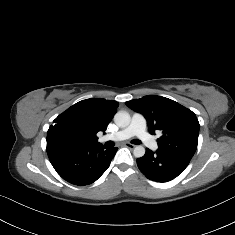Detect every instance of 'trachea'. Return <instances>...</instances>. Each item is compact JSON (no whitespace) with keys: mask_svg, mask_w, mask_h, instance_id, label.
I'll list each match as a JSON object with an SVG mask.
<instances>
[{"mask_svg":"<svg viewBox=\"0 0 235 235\" xmlns=\"http://www.w3.org/2000/svg\"><path fill=\"white\" fill-rule=\"evenodd\" d=\"M131 143H133V144H140L141 141L138 140V139H134V140L131 141ZM106 146H114V142L108 141V142L106 143Z\"/></svg>","mask_w":235,"mask_h":235,"instance_id":"3493384b","label":"trachea"}]
</instances>
